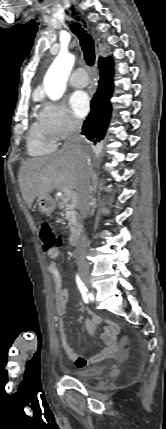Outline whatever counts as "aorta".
Wrapping results in <instances>:
<instances>
[{"mask_svg":"<svg viewBox=\"0 0 166 429\" xmlns=\"http://www.w3.org/2000/svg\"><path fill=\"white\" fill-rule=\"evenodd\" d=\"M74 61V55L62 51L50 66L44 78V88L50 99L58 100L62 97Z\"/></svg>","mask_w":166,"mask_h":429,"instance_id":"762f6f07","label":"aorta"}]
</instances>
